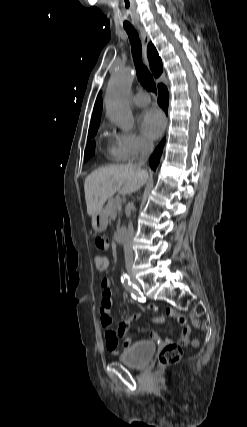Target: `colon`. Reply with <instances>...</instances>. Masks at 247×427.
<instances>
[{
  "instance_id": "obj_1",
  "label": "colon",
  "mask_w": 247,
  "mask_h": 427,
  "mask_svg": "<svg viewBox=\"0 0 247 427\" xmlns=\"http://www.w3.org/2000/svg\"><path fill=\"white\" fill-rule=\"evenodd\" d=\"M97 240V239H96ZM94 265L96 270L103 274L107 271L109 266L108 258L105 256H96L94 258ZM194 345H197V341L193 342ZM182 357V348L178 344L168 343L160 351L159 354V363L161 365H168L178 362Z\"/></svg>"
}]
</instances>
